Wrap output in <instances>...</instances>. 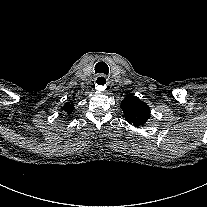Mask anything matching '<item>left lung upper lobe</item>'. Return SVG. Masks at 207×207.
<instances>
[{
    "label": "left lung upper lobe",
    "mask_w": 207,
    "mask_h": 207,
    "mask_svg": "<svg viewBox=\"0 0 207 207\" xmlns=\"http://www.w3.org/2000/svg\"><path fill=\"white\" fill-rule=\"evenodd\" d=\"M123 117L128 123L138 127L144 125L150 117L149 106L134 95H128L121 102Z\"/></svg>",
    "instance_id": "1"
}]
</instances>
